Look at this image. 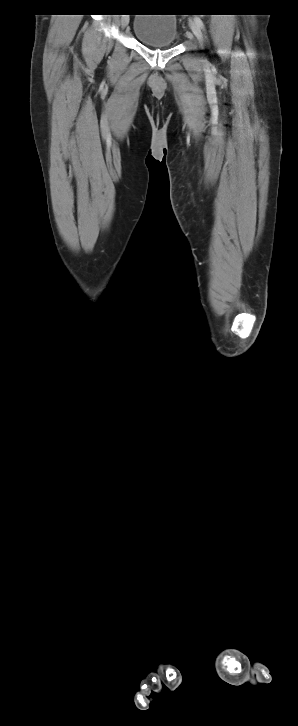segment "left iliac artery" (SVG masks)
<instances>
[{
  "instance_id": "left-iliac-artery-1",
  "label": "left iliac artery",
  "mask_w": 298,
  "mask_h": 726,
  "mask_svg": "<svg viewBox=\"0 0 298 726\" xmlns=\"http://www.w3.org/2000/svg\"><path fill=\"white\" fill-rule=\"evenodd\" d=\"M194 21L199 25L200 28L204 27L202 20L198 16L194 17Z\"/></svg>"
}]
</instances>
